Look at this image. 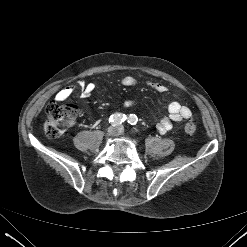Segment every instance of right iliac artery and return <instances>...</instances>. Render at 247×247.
Instances as JSON below:
<instances>
[{
    "label": "right iliac artery",
    "instance_id": "right-iliac-artery-1",
    "mask_svg": "<svg viewBox=\"0 0 247 247\" xmlns=\"http://www.w3.org/2000/svg\"><path fill=\"white\" fill-rule=\"evenodd\" d=\"M126 115L124 114H114L111 115L109 118V122L112 124V126H119L126 120Z\"/></svg>",
    "mask_w": 247,
    "mask_h": 247
}]
</instances>
